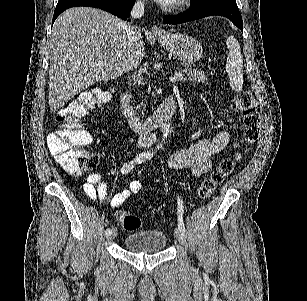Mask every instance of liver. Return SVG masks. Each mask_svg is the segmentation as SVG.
I'll return each instance as SVG.
<instances>
[{"label": "liver", "mask_w": 307, "mask_h": 301, "mask_svg": "<svg viewBox=\"0 0 307 301\" xmlns=\"http://www.w3.org/2000/svg\"><path fill=\"white\" fill-rule=\"evenodd\" d=\"M124 20L91 6H73L56 18L50 36L49 98L51 110L99 80L128 72L125 56L132 50L133 68L145 56L142 34L129 42Z\"/></svg>", "instance_id": "liver-1"}]
</instances>
